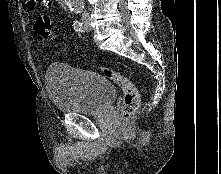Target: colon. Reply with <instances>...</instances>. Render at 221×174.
Wrapping results in <instances>:
<instances>
[{
  "instance_id": "5ec220e1",
  "label": "colon",
  "mask_w": 221,
  "mask_h": 174,
  "mask_svg": "<svg viewBox=\"0 0 221 174\" xmlns=\"http://www.w3.org/2000/svg\"><path fill=\"white\" fill-rule=\"evenodd\" d=\"M34 32L39 39H48L52 35L51 19L47 15L38 17ZM101 73L117 84L123 92V103L121 106L122 120L126 123L139 107V93L134 83L121 73L106 67H100Z\"/></svg>"
}]
</instances>
